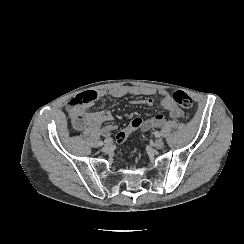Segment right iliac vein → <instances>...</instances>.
I'll use <instances>...</instances> for the list:
<instances>
[{
    "instance_id": "1",
    "label": "right iliac vein",
    "mask_w": 244,
    "mask_h": 244,
    "mask_svg": "<svg viewBox=\"0 0 244 244\" xmlns=\"http://www.w3.org/2000/svg\"><path fill=\"white\" fill-rule=\"evenodd\" d=\"M104 144H105V147L108 148V147L112 146L113 141H112L111 138H107V139L104 140Z\"/></svg>"
}]
</instances>
